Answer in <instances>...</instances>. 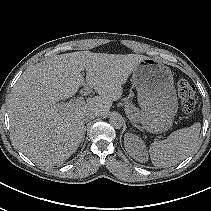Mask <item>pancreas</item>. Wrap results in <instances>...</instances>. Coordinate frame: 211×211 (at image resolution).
Wrapping results in <instances>:
<instances>
[{
	"instance_id": "obj_1",
	"label": "pancreas",
	"mask_w": 211,
	"mask_h": 211,
	"mask_svg": "<svg viewBox=\"0 0 211 211\" xmlns=\"http://www.w3.org/2000/svg\"><path fill=\"white\" fill-rule=\"evenodd\" d=\"M123 101L128 117L130 119L137 118L139 115L138 109L129 101V98H124Z\"/></svg>"
}]
</instances>
